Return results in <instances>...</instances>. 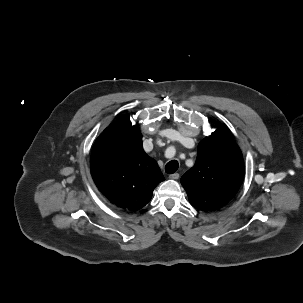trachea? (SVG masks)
<instances>
[{
	"instance_id": "obj_1",
	"label": "trachea",
	"mask_w": 303,
	"mask_h": 303,
	"mask_svg": "<svg viewBox=\"0 0 303 303\" xmlns=\"http://www.w3.org/2000/svg\"><path fill=\"white\" fill-rule=\"evenodd\" d=\"M179 164L177 160H172L170 162H168L165 166V172L168 174H173L176 172V170L178 169Z\"/></svg>"
}]
</instances>
